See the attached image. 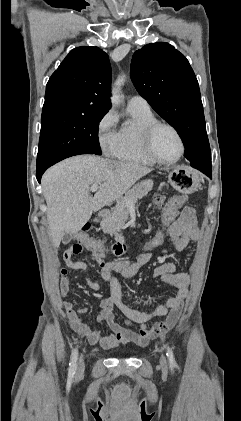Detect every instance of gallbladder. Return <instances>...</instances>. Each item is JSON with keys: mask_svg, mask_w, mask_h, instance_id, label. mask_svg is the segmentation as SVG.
I'll return each mask as SVG.
<instances>
[{"mask_svg": "<svg viewBox=\"0 0 241 421\" xmlns=\"http://www.w3.org/2000/svg\"><path fill=\"white\" fill-rule=\"evenodd\" d=\"M70 240H71V235L68 234V233H65L64 236H63V238H62V242L64 244H68L70 242Z\"/></svg>", "mask_w": 241, "mask_h": 421, "instance_id": "obj_1", "label": "gallbladder"}]
</instances>
